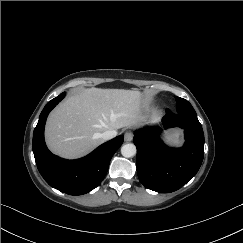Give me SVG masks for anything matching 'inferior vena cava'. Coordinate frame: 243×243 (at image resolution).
Masks as SVG:
<instances>
[{"instance_id": "inferior-vena-cava-1", "label": "inferior vena cava", "mask_w": 243, "mask_h": 243, "mask_svg": "<svg viewBox=\"0 0 243 243\" xmlns=\"http://www.w3.org/2000/svg\"><path fill=\"white\" fill-rule=\"evenodd\" d=\"M100 136H101V138L103 140H110V139H112V138L117 136V131H115V130H106L103 133H101Z\"/></svg>"}]
</instances>
